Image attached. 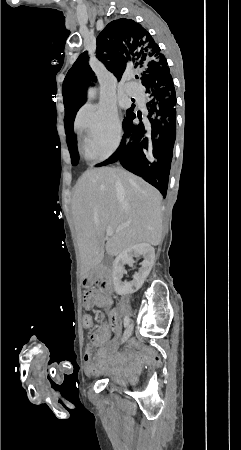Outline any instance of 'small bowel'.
Segmentation results:
<instances>
[{"mask_svg": "<svg viewBox=\"0 0 241 450\" xmlns=\"http://www.w3.org/2000/svg\"><path fill=\"white\" fill-rule=\"evenodd\" d=\"M111 283H101L99 288L93 287L92 284H84L83 288L88 289L83 296V304L86 309H91L94 306H104L110 302V297L106 294H111ZM90 328L92 325H84ZM121 331V320L119 318L109 319L108 324L104 323L97 327L91 336L90 343L85 347V362L86 372L89 376H99L115 367L117 370L126 368L127 370H136L140 364L139 356L126 357L122 353L113 352V342L111 341L112 332L119 335ZM94 346L100 347L99 355L94 353ZM129 347L136 349L139 347L135 339L129 340ZM154 364L160 363V356L154 354L152 357Z\"/></svg>", "mask_w": 241, "mask_h": 450, "instance_id": "c3829d8e", "label": "small bowel"}]
</instances>
